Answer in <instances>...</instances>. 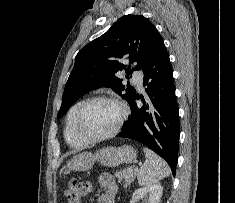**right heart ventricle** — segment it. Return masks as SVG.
Listing matches in <instances>:
<instances>
[{"label":"right heart ventricle","instance_id":"obj_1","mask_svg":"<svg viewBox=\"0 0 235 203\" xmlns=\"http://www.w3.org/2000/svg\"><path fill=\"white\" fill-rule=\"evenodd\" d=\"M86 99L79 100L76 102L68 111L65 128H64V138L67 144L73 148H82L87 145V142L83 141L74 131V119L75 115Z\"/></svg>","mask_w":235,"mask_h":203}]
</instances>
